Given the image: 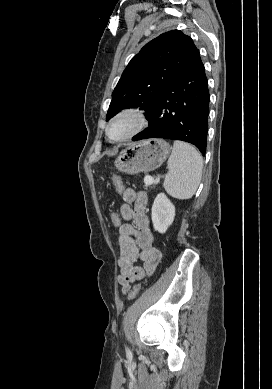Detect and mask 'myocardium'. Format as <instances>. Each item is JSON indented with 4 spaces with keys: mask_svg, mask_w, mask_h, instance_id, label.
I'll return each instance as SVG.
<instances>
[{
    "mask_svg": "<svg viewBox=\"0 0 272 389\" xmlns=\"http://www.w3.org/2000/svg\"><path fill=\"white\" fill-rule=\"evenodd\" d=\"M122 119H129L132 121L130 130L119 138H113L111 136V129L113 125ZM147 118L144 112L137 107H126L115 113L109 120L106 127L107 138L114 143L125 142L141 133L147 126Z\"/></svg>",
    "mask_w": 272,
    "mask_h": 389,
    "instance_id": "1",
    "label": "myocardium"
}]
</instances>
